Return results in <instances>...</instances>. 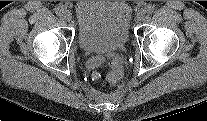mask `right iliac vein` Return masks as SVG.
Instances as JSON below:
<instances>
[{
  "instance_id": "63e3f726",
  "label": "right iliac vein",
  "mask_w": 207,
  "mask_h": 121,
  "mask_svg": "<svg viewBox=\"0 0 207 121\" xmlns=\"http://www.w3.org/2000/svg\"><path fill=\"white\" fill-rule=\"evenodd\" d=\"M63 18L67 21L70 22L72 20V13L68 10L64 11L63 13Z\"/></svg>"
}]
</instances>
